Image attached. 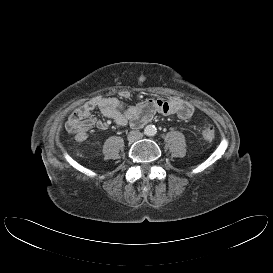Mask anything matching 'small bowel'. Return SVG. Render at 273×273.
I'll return each instance as SVG.
<instances>
[{"label":"small bowel","instance_id":"obj_1","mask_svg":"<svg viewBox=\"0 0 273 273\" xmlns=\"http://www.w3.org/2000/svg\"><path fill=\"white\" fill-rule=\"evenodd\" d=\"M128 97V94H124ZM99 109L103 116L113 120L119 126L130 125L139 128L148 123L155 114H176L182 119H189L194 113V106L178 97L169 100L147 99L136 105L126 106L115 97H95L75 109L67 122V130L79 142L85 141L88 131L93 128L105 130L108 124L92 115Z\"/></svg>","mask_w":273,"mask_h":273}]
</instances>
